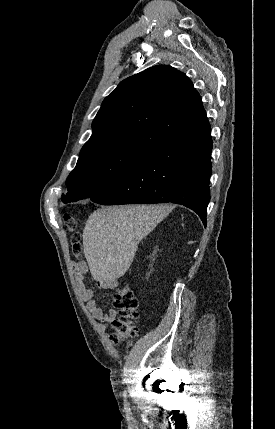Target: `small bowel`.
Returning <instances> with one entry per match:
<instances>
[{
	"instance_id": "small-bowel-1",
	"label": "small bowel",
	"mask_w": 275,
	"mask_h": 429,
	"mask_svg": "<svg viewBox=\"0 0 275 429\" xmlns=\"http://www.w3.org/2000/svg\"><path fill=\"white\" fill-rule=\"evenodd\" d=\"M74 270L79 297L85 302L86 309L90 312L92 317L100 322H109L114 319L117 315V310L109 309L107 312H104L93 298V291L86 287L84 283L85 273L87 271L86 264L84 262L78 263L74 265ZM100 286L101 288L107 289L110 288L112 284L109 282H100Z\"/></svg>"
}]
</instances>
